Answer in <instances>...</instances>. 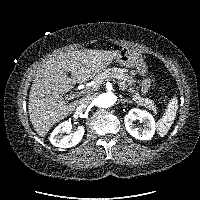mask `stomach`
Returning a JSON list of instances; mask_svg holds the SVG:
<instances>
[{"label":"stomach","mask_w":200,"mask_h":200,"mask_svg":"<svg viewBox=\"0 0 200 200\" xmlns=\"http://www.w3.org/2000/svg\"><path fill=\"white\" fill-rule=\"evenodd\" d=\"M116 61L126 68L134 69V72L140 76H146L148 73V66L144 60L143 55L137 50L130 48H123L117 55Z\"/></svg>","instance_id":"0dacf381"}]
</instances>
